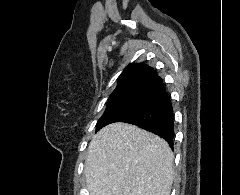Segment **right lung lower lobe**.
I'll return each mask as SVG.
<instances>
[{"instance_id":"98d812e1","label":"right lung lower lobe","mask_w":240,"mask_h":195,"mask_svg":"<svg viewBox=\"0 0 240 195\" xmlns=\"http://www.w3.org/2000/svg\"><path fill=\"white\" fill-rule=\"evenodd\" d=\"M173 107L164 84L152 89L136 109L117 122L137 125L164 138L173 148L174 122Z\"/></svg>"}]
</instances>
